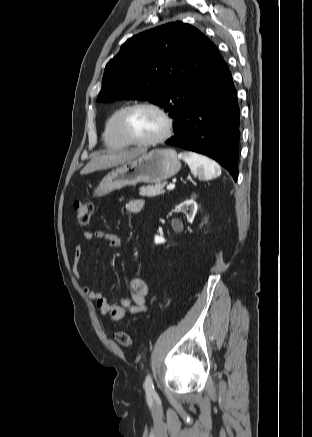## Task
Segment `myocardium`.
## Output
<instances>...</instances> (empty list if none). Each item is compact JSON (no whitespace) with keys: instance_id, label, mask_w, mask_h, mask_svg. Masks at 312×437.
Wrapping results in <instances>:
<instances>
[{"instance_id":"1","label":"myocardium","mask_w":312,"mask_h":437,"mask_svg":"<svg viewBox=\"0 0 312 437\" xmlns=\"http://www.w3.org/2000/svg\"><path fill=\"white\" fill-rule=\"evenodd\" d=\"M139 108L152 109L162 117L165 123V128L161 135L150 140H139L132 135V133L128 128V120L131 114ZM118 128L122 137L129 144L149 147V146H155L161 144L171 136L173 131V121L170 115L158 104L148 101H142V102L134 103L124 109V111L121 113L119 118Z\"/></svg>"}]
</instances>
